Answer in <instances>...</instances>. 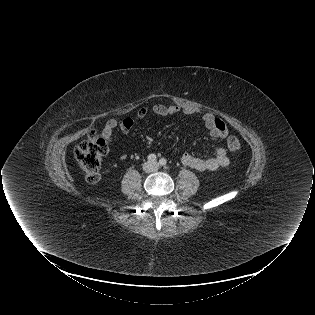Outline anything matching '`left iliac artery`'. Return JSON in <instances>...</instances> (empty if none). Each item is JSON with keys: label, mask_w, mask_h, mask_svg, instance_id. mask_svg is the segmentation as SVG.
Returning <instances> with one entry per match:
<instances>
[{"label": "left iliac artery", "mask_w": 315, "mask_h": 315, "mask_svg": "<svg viewBox=\"0 0 315 315\" xmlns=\"http://www.w3.org/2000/svg\"><path fill=\"white\" fill-rule=\"evenodd\" d=\"M159 164L162 165V166H165V165L167 164L166 159L161 158V159L159 160Z\"/></svg>", "instance_id": "44dca946"}]
</instances>
